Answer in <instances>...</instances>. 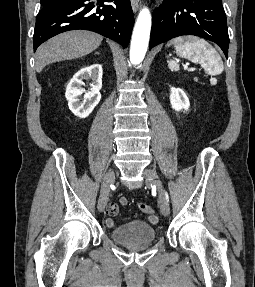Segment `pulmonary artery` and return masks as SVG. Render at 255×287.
<instances>
[{"label":"pulmonary artery","instance_id":"obj_1","mask_svg":"<svg viewBox=\"0 0 255 287\" xmlns=\"http://www.w3.org/2000/svg\"><path fill=\"white\" fill-rule=\"evenodd\" d=\"M115 33H123V32H115ZM118 39H123V38H118Z\"/></svg>","mask_w":255,"mask_h":287}]
</instances>
